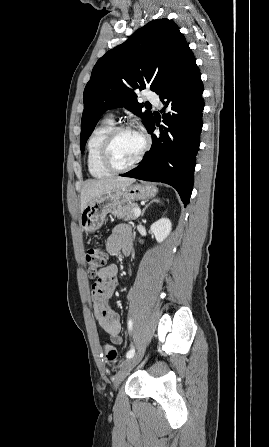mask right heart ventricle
<instances>
[{
	"label": "right heart ventricle",
	"instance_id": "obj_1",
	"mask_svg": "<svg viewBox=\"0 0 269 447\" xmlns=\"http://www.w3.org/2000/svg\"><path fill=\"white\" fill-rule=\"evenodd\" d=\"M113 127V119L107 118L93 130L89 137L87 165L89 172L94 177L103 178L112 172L102 164L101 152L103 142Z\"/></svg>",
	"mask_w": 269,
	"mask_h": 447
}]
</instances>
